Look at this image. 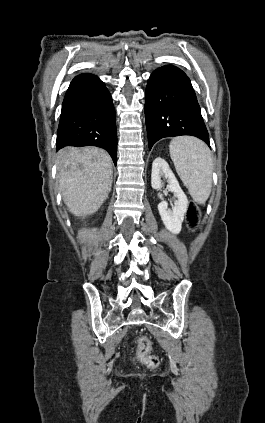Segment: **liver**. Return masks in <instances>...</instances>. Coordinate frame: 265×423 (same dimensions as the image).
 <instances>
[{
	"label": "liver",
	"instance_id": "6515ba94",
	"mask_svg": "<svg viewBox=\"0 0 265 423\" xmlns=\"http://www.w3.org/2000/svg\"><path fill=\"white\" fill-rule=\"evenodd\" d=\"M60 190L68 210L75 216L95 213L112 186V160L97 147H65L57 154Z\"/></svg>",
	"mask_w": 265,
	"mask_h": 423
}]
</instances>
